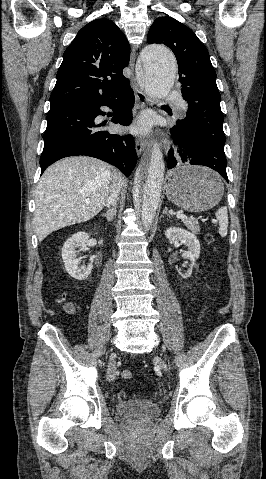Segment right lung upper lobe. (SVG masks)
Instances as JSON below:
<instances>
[{
    "label": "right lung upper lobe",
    "mask_w": 266,
    "mask_h": 479,
    "mask_svg": "<svg viewBox=\"0 0 266 479\" xmlns=\"http://www.w3.org/2000/svg\"><path fill=\"white\" fill-rule=\"evenodd\" d=\"M129 58V43L115 23L91 21L63 54L50 107L91 102L122 91L130 85L123 75Z\"/></svg>",
    "instance_id": "cb5924a9"
}]
</instances>
